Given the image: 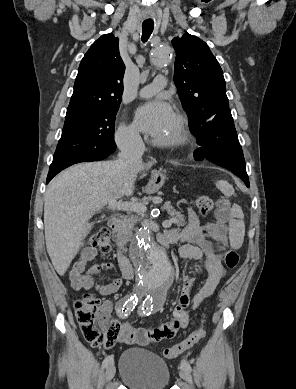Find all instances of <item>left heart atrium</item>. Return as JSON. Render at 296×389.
<instances>
[{
  "instance_id": "1",
  "label": "left heart atrium",
  "mask_w": 296,
  "mask_h": 389,
  "mask_svg": "<svg viewBox=\"0 0 296 389\" xmlns=\"http://www.w3.org/2000/svg\"><path fill=\"white\" fill-rule=\"evenodd\" d=\"M134 118L139 130L158 137L172 123L174 113L169 103L158 99L139 106Z\"/></svg>"
}]
</instances>
